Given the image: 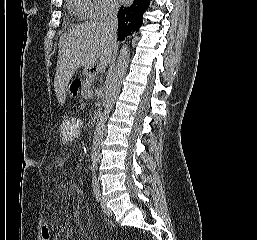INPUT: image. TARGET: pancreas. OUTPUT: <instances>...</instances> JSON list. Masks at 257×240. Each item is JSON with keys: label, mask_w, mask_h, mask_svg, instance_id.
Here are the masks:
<instances>
[{"label": "pancreas", "mask_w": 257, "mask_h": 240, "mask_svg": "<svg viewBox=\"0 0 257 240\" xmlns=\"http://www.w3.org/2000/svg\"><path fill=\"white\" fill-rule=\"evenodd\" d=\"M90 88H91V81H90V78L88 77L81 89V95L83 98L85 99L88 98V91L90 90Z\"/></svg>", "instance_id": "1"}]
</instances>
